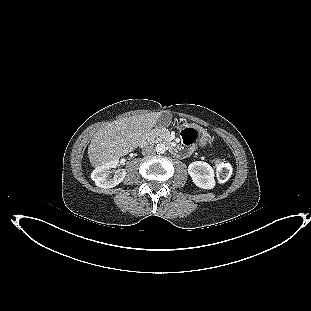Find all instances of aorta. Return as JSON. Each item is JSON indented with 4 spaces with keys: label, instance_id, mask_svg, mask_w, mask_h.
Segmentation results:
<instances>
[{
    "label": "aorta",
    "instance_id": "obj_1",
    "mask_svg": "<svg viewBox=\"0 0 311 311\" xmlns=\"http://www.w3.org/2000/svg\"><path fill=\"white\" fill-rule=\"evenodd\" d=\"M166 150H167V147L163 143H159L155 147V151L157 152V154H164Z\"/></svg>",
    "mask_w": 311,
    "mask_h": 311
}]
</instances>
